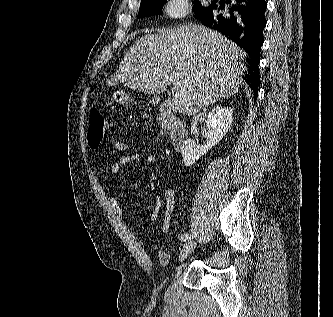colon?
Listing matches in <instances>:
<instances>
[{
    "mask_svg": "<svg viewBox=\"0 0 333 317\" xmlns=\"http://www.w3.org/2000/svg\"><path fill=\"white\" fill-rule=\"evenodd\" d=\"M107 125L102 111L98 107H92L89 111L88 130V144L92 149H97L101 145Z\"/></svg>",
    "mask_w": 333,
    "mask_h": 317,
    "instance_id": "5ec220e1",
    "label": "colon"
}]
</instances>
